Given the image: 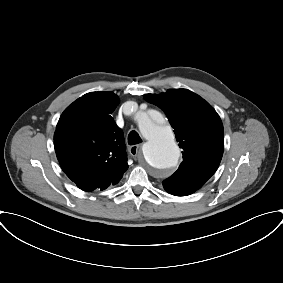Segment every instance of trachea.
Instances as JSON below:
<instances>
[{
	"label": "trachea",
	"instance_id": "3493384b",
	"mask_svg": "<svg viewBox=\"0 0 283 283\" xmlns=\"http://www.w3.org/2000/svg\"><path fill=\"white\" fill-rule=\"evenodd\" d=\"M142 139L136 131H131L128 135V144L135 145L141 143Z\"/></svg>",
	"mask_w": 283,
	"mask_h": 283
}]
</instances>
